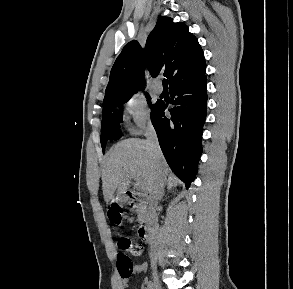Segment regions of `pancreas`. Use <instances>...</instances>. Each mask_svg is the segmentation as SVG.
Listing matches in <instances>:
<instances>
[{"label":"pancreas","instance_id":"cf45deb5","mask_svg":"<svg viewBox=\"0 0 293 289\" xmlns=\"http://www.w3.org/2000/svg\"><path fill=\"white\" fill-rule=\"evenodd\" d=\"M136 212L138 214L139 221L142 222L145 217V206L143 204H139L137 206Z\"/></svg>","mask_w":293,"mask_h":289}]
</instances>
